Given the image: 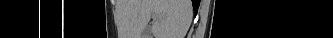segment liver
<instances>
[{"label":"liver","mask_w":333,"mask_h":38,"mask_svg":"<svg viewBox=\"0 0 333 38\" xmlns=\"http://www.w3.org/2000/svg\"><path fill=\"white\" fill-rule=\"evenodd\" d=\"M153 15L154 38H184L192 19V4L190 0H138L137 36H141Z\"/></svg>","instance_id":"obj_1"}]
</instances>
